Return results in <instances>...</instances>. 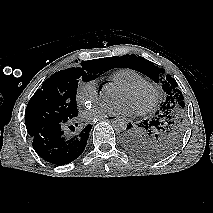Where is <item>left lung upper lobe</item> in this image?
I'll use <instances>...</instances> for the list:
<instances>
[{"label":"left lung upper lobe","mask_w":213,"mask_h":213,"mask_svg":"<svg viewBox=\"0 0 213 213\" xmlns=\"http://www.w3.org/2000/svg\"><path fill=\"white\" fill-rule=\"evenodd\" d=\"M110 65L113 68L127 67L137 70L156 83H161L166 100L160 104V110L147 124L137 137V145L132 153L145 158L158 160L171 154L180 144L186 127L185 101L178 84L171 75H166L164 69L154 63L136 55L111 57ZM144 123V124H145Z\"/></svg>","instance_id":"1"}]
</instances>
